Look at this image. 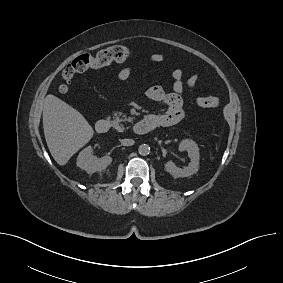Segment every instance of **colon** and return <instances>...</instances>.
Segmentation results:
<instances>
[{
  "label": "colon",
  "instance_id": "obj_1",
  "mask_svg": "<svg viewBox=\"0 0 283 283\" xmlns=\"http://www.w3.org/2000/svg\"><path fill=\"white\" fill-rule=\"evenodd\" d=\"M129 48L125 45H114L92 55L85 53L76 57L63 70V84L60 86L62 92L67 91L68 84L72 78L88 69L100 68L113 62H122L129 56ZM196 104L204 108H217L220 100L216 97H197Z\"/></svg>",
  "mask_w": 283,
  "mask_h": 283
}]
</instances>
